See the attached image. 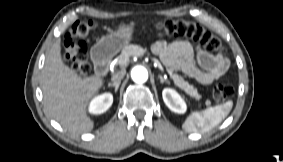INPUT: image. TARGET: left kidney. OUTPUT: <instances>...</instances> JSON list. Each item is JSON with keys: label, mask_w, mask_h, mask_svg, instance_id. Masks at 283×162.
I'll return each instance as SVG.
<instances>
[{"label": "left kidney", "mask_w": 283, "mask_h": 162, "mask_svg": "<svg viewBox=\"0 0 283 162\" xmlns=\"http://www.w3.org/2000/svg\"><path fill=\"white\" fill-rule=\"evenodd\" d=\"M162 97L166 106L173 112L183 114L187 110L185 101L181 96L171 88H164L162 91Z\"/></svg>", "instance_id": "obj_1"}]
</instances>
